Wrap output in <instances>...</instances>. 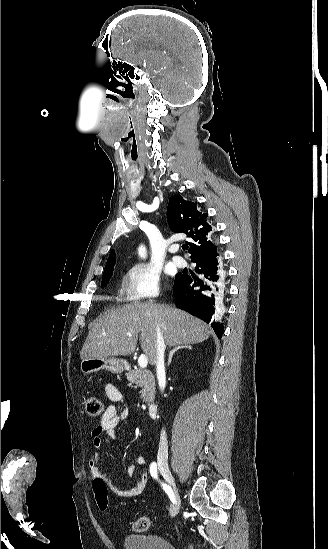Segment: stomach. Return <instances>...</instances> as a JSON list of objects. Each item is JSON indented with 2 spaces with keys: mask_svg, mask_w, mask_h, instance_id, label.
I'll use <instances>...</instances> for the list:
<instances>
[{
  "mask_svg": "<svg viewBox=\"0 0 328 549\" xmlns=\"http://www.w3.org/2000/svg\"><path fill=\"white\" fill-rule=\"evenodd\" d=\"M110 371V373H123V371H128L129 363L126 359H116V357H94V359H82L80 363V371L84 375H89V373H96V371Z\"/></svg>",
  "mask_w": 328,
  "mask_h": 549,
  "instance_id": "0dacf381",
  "label": "stomach"
}]
</instances>
